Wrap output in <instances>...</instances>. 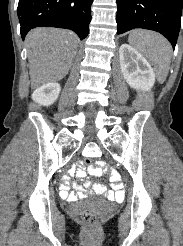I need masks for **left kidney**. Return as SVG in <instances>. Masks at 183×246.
Returning a JSON list of instances; mask_svg holds the SVG:
<instances>
[{"label":"left kidney","instance_id":"obj_1","mask_svg":"<svg viewBox=\"0 0 183 246\" xmlns=\"http://www.w3.org/2000/svg\"><path fill=\"white\" fill-rule=\"evenodd\" d=\"M120 66L126 82L136 90L149 91L155 83V73L148 61L133 47L122 44Z\"/></svg>","mask_w":183,"mask_h":246}]
</instances>
